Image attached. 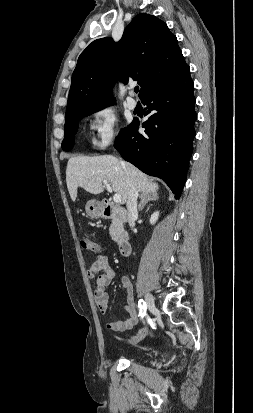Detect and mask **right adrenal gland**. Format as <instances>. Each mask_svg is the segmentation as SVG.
<instances>
[{
  "label": "right adrenal gland",
  "instance_id": "1",
  "mask_svg": "<svg viewBox=\"0 0 253 413\" xmlns=\"http://www.w3.org/2000/svg\"><path fill=\"white\" fill-rule=\"evenodd\" d=\"M140 204L138 207L139 211H142L144 206L149 202V201H155L158 200V195L157 193H141L140 195Z\"/></svg>",
  "mask_w": 253,
  "mask_h": 413
}]
</instances>
